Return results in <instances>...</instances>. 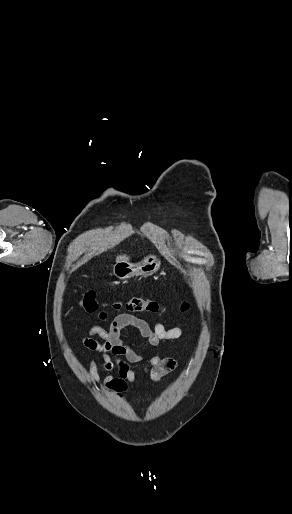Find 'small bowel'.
<instances>
[{
    "mask_svg": "<svg viewBox=\"0 0 292 514\" xmlns=\"http://www.w3.org/2000/svg\"><path fill=\"white\" fill-rule=\"evenodd\" d=\"M97 317L100 321L108 320L105 311L98 312ZM129 326L139 330L149 346L155 350L154 355L139 353L122 340L121 332ZM183 335L184 330L181 327L168 328L162 323L150 326L144 319L129 313H121L113 318L108 329L94 325L82 339L81 345L98 353L104 371L111 373L117 370L118 376L108 375L102 378L97 359L93 358L88 363L89 378L93 384H102L106 389L116 393L126 391L129 385L138 386L137 375L140 373L148 375L152 383H159L178 368L176 359L160 356L159 345L162 341L177 340ZM144 361L147 362L145 367L133 369L130 366Z\"/></svg>",
    "mask_w": 292,
    "mask_h": 514,
    "instance_id": "1",
    "label": "small bowel"
}]
</instances>
